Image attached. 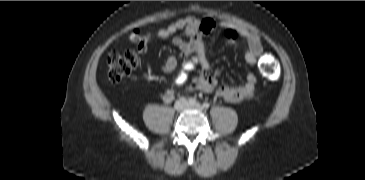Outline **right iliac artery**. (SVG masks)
<instances>
[{
    "mask_svg": "<svg viewBox=\"0 0 365 180\" xmlns=\"http://www.w3.org/2000/svg\"><path fill=\"white\" fill-rule=\"evenodd\" d=\"M188 103H189V105H195L196 100L194 98H189Z\"/></svg>",
    "mask_w": 365,
    "mask_h": 180,
    "instance_id": "obj_1",
    "label": "right iliac artery"
}]
</instances>
